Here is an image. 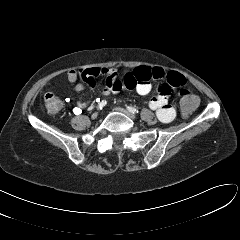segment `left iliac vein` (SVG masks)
Masks as SVG:
<instances>
[{"label": "left iliac vein", "instance_id": "obj_1", "mask_svg": "<svg viewBox=\"0 0 240 240\" xmlns=\"http://www.w3.org/2000/svg\"><path fill=\"white\" fill-rule=\"evenodd\" d=\"M114 110L117 111V112H120V113H122L124 115H126L127 117H129L131 119H135L136 118V116L134 114H132L131 112L127 111L124 108L116 107V108H114Z\"/></svg>", "mask_w": 240, "mask_h": 240}]
</instances>
